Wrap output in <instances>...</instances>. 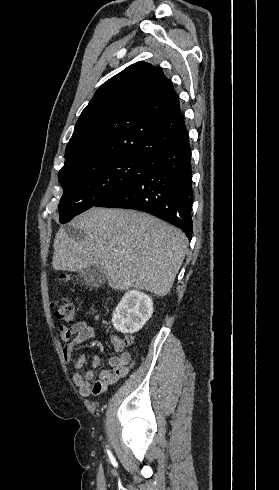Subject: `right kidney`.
<instances>
[{
  "label": "right kidney",
  "mask_w": 279,
  "mask_h": 490,
  "mask_svg": "<svg viewBox=\"0 0 279 490\" xmlns=\"http://www.w3.org/2000/svg\"><path fill=\"white\" fill-rule=\"evenodd\" d=\"M153 314V300L138 290H129L116 306L112 324L117 332L135 334L139 332Z\"/></svg>",
  "instance_id": "ca27d5eb"
}]
</instances>
